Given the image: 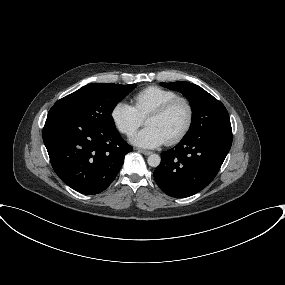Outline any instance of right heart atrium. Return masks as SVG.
<instances>
[{"mask_svg": "<svg viewBox=\"0 0 285 285\" xmlns=\"http://www.w3.org/2000/svg\"><path fill=\"white\" fill-rule=\"evenodd\" d=\"M111 119L119 132L133 134L143 123V118L135 108L125 101L117 102L111 110Z\"/></svg>", "mask_w": 285, "mask_h": 285, "instance_id": "d8ad5b80", "label": "right heart atrium"}]
</instances>
